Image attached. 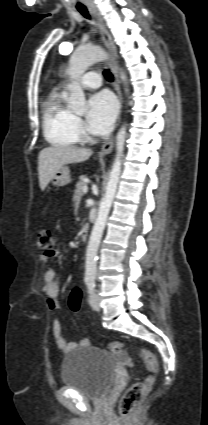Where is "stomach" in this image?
<instances>
[{
    "mask_svg": "<svg viewBox=\"0 0 208 425\" xmlns=\"http://www.w3.org/2000/svg\"><path fill=\"white\" fill-rule=\"evenodd\" d=\"M52 184L57 187L65 186L71 182L70 169L67 166H62L53 175Z\"/></svg>",
    "mask_w": 208,
    "mask_h": 425,
    "instance_id": "0dacf381",
    "label": "stomach"
}]
</instances>
